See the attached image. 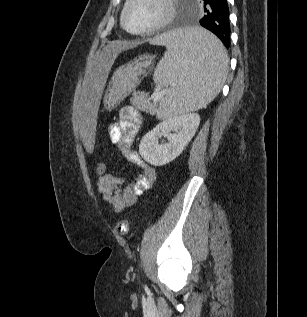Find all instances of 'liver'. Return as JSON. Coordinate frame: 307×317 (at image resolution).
Masks as SVG:
<instances>
[{
	"instance_id": "6515ba94",
	"label": "liver",
	"mask_w": 307,
	"mask_h": 317,
	"mask_svg": "<svg viewBox=\"0 0 307 317\" xmlns=\"http://www.w3.org/2000/svg\"><path fill=\"white\" fill-rule=\"evenodd\" d=\"M136 45V43L125 41H115L108 44L97 58L94 59V62L91 63L86 72L81 99L77 106L79 111L77 123L80 130V141L83 142L82 154H95L96 152V142L99 141V136L91 135V133L95 132L97 125L96 116L100 110L98 104H102L103 101L104 83L106 78L109 77L111 64L115 58H119L121 51L133 48Z\"/></svg>"
}]
</instances>
